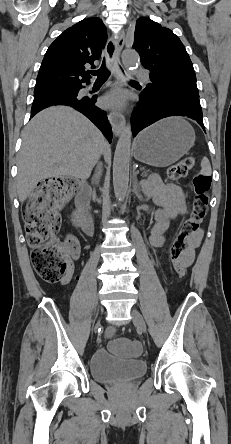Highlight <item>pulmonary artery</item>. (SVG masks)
I'll use <instances>...</instances> for the list:
<instances>
[{"instance_id": "1", "label": "pulmonary artery", "mask_w": 231, "mask_h": 444, "mask_svg": "<svg viewBox=\"0 0 231 444\" xmlns=\"http://www.w3.org/2000/svg\"><path fill=\"white\" fill-rule=\"evenodd\" d=\"M135 74L139 80H148L149 79L148 73L143 69H140V68L136 69Z\"/></svg>"}]
</instances>
